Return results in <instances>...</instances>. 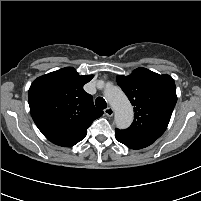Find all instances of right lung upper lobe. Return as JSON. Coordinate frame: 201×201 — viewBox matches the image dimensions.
<instances>
[{"label": "right lung upper lobe", "instance_id": "1", "mask_svg": "<svg viewBox=\"0 0 201 201\" xmlns=\"http://www.w3.org/2000/svg\"><path fill=\"white\" fill-rule=\"evenodd\" d=\"M93 75H79L74 68H63L33 81L29 89L32 118L52 143L71 147L87 134L91 123L102 116L92 96L83 89Z\"/></svg>", "mask_w": 201, "mask_h": 201}]
</instances>
